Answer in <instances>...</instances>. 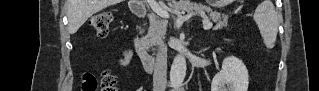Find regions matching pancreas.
Segmentation results:
<instances>
[{"instance_id":"pancreas-1","label":"pancreas","mask_w":319,"mask_h":91,"mask_svg":"<svg viewBox=\"0 0 319 91\" xmlns=\"http://www.w3.org/2000/svg\"><path fill=\"white\" fill-rule=\"evenodd\" d=\"M173 8L179 11H185L187 13H202L207 12L209 14V18L216 22L215 29H221L225 26H227V16L222 15L218 12L213 11L212 9L208 7H203L201 5H179L174 4ZM150 21V27L148 29V33L145 37L146 41L149 43V46H156L160 42H162V39H164L166 31H167V22L163 19H160L156 15H151L149 17Z\"/></svg>"}]
</instances>
